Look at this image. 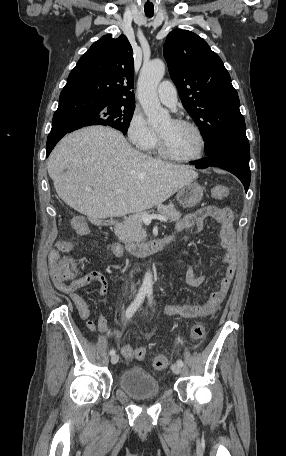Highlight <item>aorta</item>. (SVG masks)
<instances>
[{
    "instance_id": "obj_1",
    "label": "aorta",
    "mask_w": 286,
    "mask_h": 456,
    "mask_svg": "<svg viewBox=\"0 0 286 456\" xmlns=\"http://www.w3.org/2000/svg\"><path fill=\"white\" fill-rule=\"evenodd\" d=\"M165 74V64L160 59L152 60L144 64L138 80V99L147 116V122L151 126H158L170 119L169 112L162 108L157 97V86ZM142 290L152 291L153 275L150 270L146 271Z\"/></svg>"
}]
</instances>
